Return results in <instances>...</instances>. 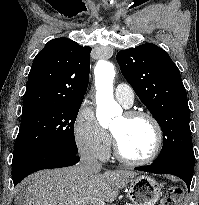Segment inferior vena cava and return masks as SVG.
Segmentation results:
<instances>
[{
    "mask_svg": "<svg viewBox=\"0 0 199 205\" xmlns=\"http://www.w3.org/2000/svg\"><path fill=\"white\" fill-rule=\"evenodd\" d=\"M80 158L79 168L84 174H90L93 171H98L102 167L96 156L89 150H82L80 152Z\"/></svg>",
    "mask_w": 199,
    "mask_h": 205,
    "instance_id": "obj_1",
    "label": "inferior vena cava"
}]
</instances>
